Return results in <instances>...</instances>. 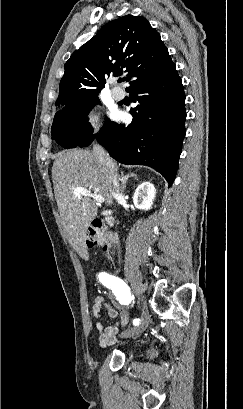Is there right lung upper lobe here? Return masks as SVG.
I'll return each instance as SVG.
<instances>
[{
    "label": "right lung upper lobe",
    "mask_w": 243,
    "mask_h": 409,
    "mask_svg": "<svg viewBox=\"0 0 243 409\" xmlns=\"http://www.w3.org/2000/svg\"><path fill=\"white\" fill-rule=\"evenodd\" d=\"M174 66L159 33L145 18L122 16L104 25L65 63L56 105L98 97L106 78L122 71L127 73L129 89Z\"/></svg>",
    "instance_id": "obj_1"
}]
</instances>
